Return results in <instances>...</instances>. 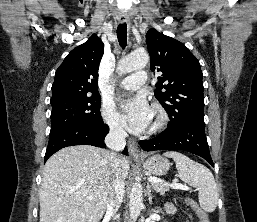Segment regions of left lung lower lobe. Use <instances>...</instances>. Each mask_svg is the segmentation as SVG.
Masks as SVG:
<instances>
[{"label": "left lung lower lobe", "instance_id": "1", "mask_svg": "<svg viewBox=\"0 0 257 222\" xmlns=\"http://www.w3.org/2000/svg\"><path fill=\"white\" fill-rule=\"evenodd\" d=\"M144 151L183 150L206 159L213 167L204 121L190 120L167 128L157 137L139 141Z\"/></svg>", "mask_w": 257, "mask_h": 222}]
</instances>
